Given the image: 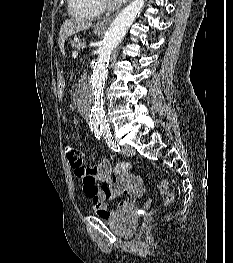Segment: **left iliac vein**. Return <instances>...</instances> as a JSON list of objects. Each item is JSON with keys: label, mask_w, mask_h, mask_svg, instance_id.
Here are the masks:
<instances>
[{"label": "left iliac vein", "mask_w": 233, "mask_h": 263, "mask_svg": "<svg viewBox=\"0 0 233 263\" xmlns=\"http://www.w3.org/2000/svg\"><path fill=\"white\" fill-rule=\"evenodd\" d=\"M121 153L125 156H133L135 154V149L130 145L122 146Z\"/></svg>", "instance_id": "1"}]
</instances>
